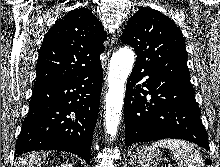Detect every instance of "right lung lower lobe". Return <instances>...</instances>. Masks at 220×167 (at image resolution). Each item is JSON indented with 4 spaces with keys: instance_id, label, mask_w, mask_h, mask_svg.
<instances>
[{
    "instance_id": "right-lung-lower-lobe-1",
    "label": "right lung lower lobe",
    "mask_w": 220,
    "mask_h": 167,
    "mask_svg": "<svg viewBox=\"0 0 220 167\" xmlns=\"http://www.w3.org/2000/svg\"><path fill=\"white\" fill-rule=\"evenodd\" d=\"M103 71L94 70L50 86L33 89L15 155L34 150L72 152L90 164Z\"/></svg>"
}]
</instances>
